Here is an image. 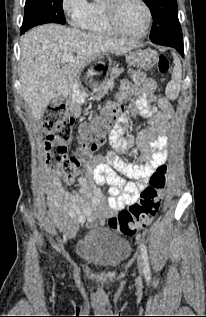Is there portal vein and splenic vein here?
<instances>
[{
	"label": "portal vein and splenic vein",
	"mask_w": 206,
	"mask_h": 317,
	"mask_svg": "<svg viewBox=\"0 0 206 317\" xmlns=\"http://www.w3.org/2000/svg\"><path fill=\"white\" fill-rule=\"evenodd\" d=\"M73 58H74L73 55H72L71 53H69V54H65V55L62 57L61 61H62V63H67V62H69V61H72Z\"/></svg>",
	"instance_id": "obj_1"
}]
</instances>
